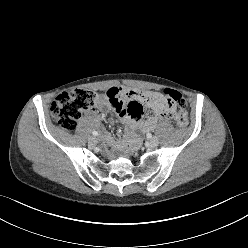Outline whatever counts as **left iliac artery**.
Instances as JSON below:
<instances>
[{
    "instance_id": "1",
    "label": "left iliac artery",
    "mask_w": 248,
    "mask_h": 248,
    "mask_svg": "<svg viewBox=\"0 0 248 248\" xmlns=\"http://www.w3.org/2000/svg\"><path fill=\"white\" fill-rule=\"evenodd\" d=\"M147 136H148V138H151V137H152L151 133H148V135H147Z\"/></svg>"
}]
</instances>
